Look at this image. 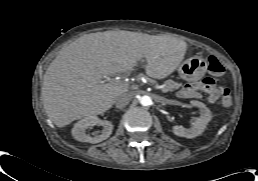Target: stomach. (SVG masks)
Here are the masks:
<instances>
[{
  "label": "stomach",
  "mask_w": 258,
  "mask_h": 181,
  "mask_svg": "<svg viewBox=\"0 0 258 181\" xmlns=\"http://www.w3.org/2000/svg\"><path fill=\"white\" fill-rule=\"evenodd\" d=\"M207 69V61L199 56H193L178 67L179 76L187 81L195 80L203 76Z\"/></svg>",
  "instance_id": "0dacf381"
}]
</instances>
